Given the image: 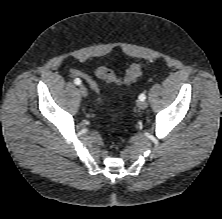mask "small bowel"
<instances>
[{
  "instance_id": "c3829d8e",
  "label": "small bowel",
  "mask_w": 222,
  "mask_h": 219,
  "mask_svg": "<svg viewBox=\"0 0 222 219\" xmlns=\"http://www.w3.org/2000/svg\"><path fill=\"white\" fill-rule=\"evenodd\" d=\"M72 74L75 75V76H78L80 78H82L83 80H85L89 85L91 84H96V82L88 75V74H85L79 70H76V69H73L72 70Z\"/></svg>"
}]
</instances>
